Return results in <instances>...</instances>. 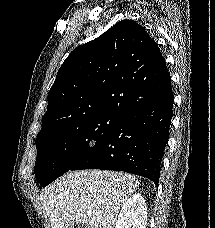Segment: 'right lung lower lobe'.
I'll return each instance as SVG.
<instances>
[{
	"label": "right lung lower lobe",
	"mask_w": 215,
	"mask_h": 228,
	"mask_svg": "<svg viewBox=\"0 0 215 228\" xmlns=\"http://www.w3.org/2000/svg\"><path fill=\"white\" fill-rule=\"evenodd\" d=\"M164 82L170 87L166 94L124 115L70 170L125 171L149 178L158 186L174 98L170 76Z\"/></svg>",
	"instance_id": "obj_1"
}]
</instances>
